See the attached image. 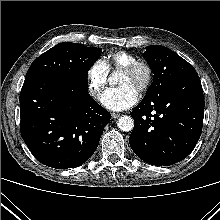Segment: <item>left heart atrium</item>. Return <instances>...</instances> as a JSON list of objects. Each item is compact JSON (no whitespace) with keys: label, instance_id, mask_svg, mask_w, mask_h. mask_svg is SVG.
<instances>
[{"label":"left heart atrium","instance_id":"1","mask_svg":"<svg viewBox=\"0 0 220 220\" xmlns=\"http://www.w3.org/2000/svg\"><path fill=\"white\" fill-rule=\"evenodd\" d=\"M138 100V91L131 85L107 89L102 97L101 103L113 111H121L130 108Z\"/></svg>","mask_w":220,"mask_h":220}]
</instances>
